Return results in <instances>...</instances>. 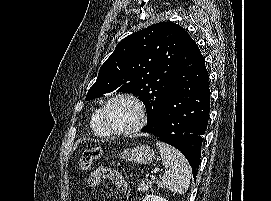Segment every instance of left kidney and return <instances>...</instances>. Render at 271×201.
<instances>
[{
	"instance_id": "1",
	"label": "left kidney",
	"mask_w": 271,
	"mask_h": 201,
	"mask_svg": "<svg viewBox=\"0 0 271 201\" xmlns=\"http://www.w3.org/2000/svg\"><path fill=\"white\" fill-rule=\"evenodd\" d=\"M142 201H167L166 199L156 195H146Z\"/></svg>"
}]
</instances>
